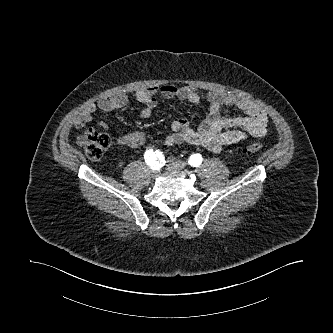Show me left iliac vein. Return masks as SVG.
<instances>
[{
	"mask_svg": "<svg viewBox=\"0 0 333 333\" xmlns=\"http://www.w3.org/2000/svg\"><path fill=\"white\" fill-rule=\"evenodd\" d=\"M166 166L169 169L182 170L184 168V163L177 162V161H174V160H169V161H167Z\"/></svg>",
	"mask_w": 333,
	"mask_h": 333,
	"instance_id": "1",
	"label": "left iliac vein"
}]
</instances>
